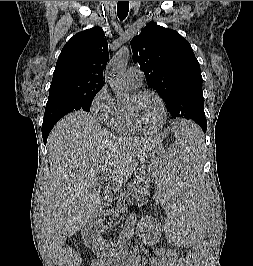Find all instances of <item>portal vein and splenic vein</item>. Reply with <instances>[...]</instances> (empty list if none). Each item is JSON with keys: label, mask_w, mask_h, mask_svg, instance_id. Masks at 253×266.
<instances>
[{"label": "portal vein and splenic vein", "mask_w": 253, "mask_h": 266, "mask_svg": "<svg viewBox=\"0 0 253 266\" xmlns=\"http://www.w3.org/2000/svg\"><path fill=\"white\" fill-rule=\"evenodd\" d=\"M107 178L105 177V178H103V179H101V180H106Z\"/></svg>", "instance_id": "portal-vein-and-splenic-vein-1"}]
</instances>
